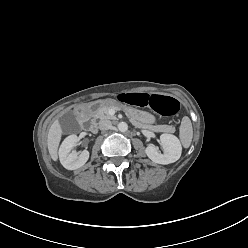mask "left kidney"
Segmentation results:
<instances>
[{
	"label": "left kidney",
	"mask_w": 248,
	"mask_h": 248,
	"mask_svg": "<svg viewBox=\"0 0 248 248\" xmlns=\"http://www.w3.org/2000/svg\"><path fill=\"white\" fill-rule=\"evenodd\" d=\"M160 143L164 149V153H161L158 147L153 144L145 149L146 155L153 162L166 165L174 163L180 158L182 147L176 136L172 134H162L160 136Z\"/></svg>",
	"instance_id": "1"
}]
</instances>
